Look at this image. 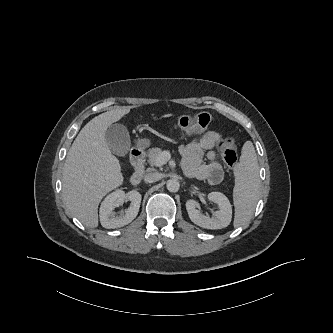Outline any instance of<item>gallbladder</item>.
Segmentation results:
<instances>
[{"label": "gallbladder", "instance_id": "obj_1", "mask_svg": "<svg viewBox=\"0 0 333 333\" xmlns=\"http://www.w3.org/2000/svg\"><path fill=\"white\" fill-rule=\"evenodd\" d=\"M105 139L110 151L117 156L124 157L130 150L129 132L122 124H111L105 132Z\"/></svg>", "mask_w": 333, "mask_h": 333}]
</instances>
